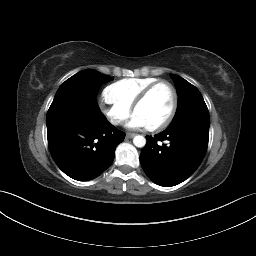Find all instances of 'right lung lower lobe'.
I'll return each mask as SVG.
<instances>
[{
	"label": "right lung lower lobe",
	"mask_w": 256,
	"mask_h": 256,
	"mask_svg": "<svg viewBox=\"0 0 256 256\" xmlns=\"http://www.w3.org/2000/svg\"><path fill=\"white\" fill-rule=\"evenodd\" d=\"M84 109L58 110L47 115V138L51 156L69 177L87 181L98 177L113 162L116 147L125 134L101 113L96 99Z\"/></svg>",
	"instance_id": "right-lung-lower-lobe-1"
}]
</instances>
